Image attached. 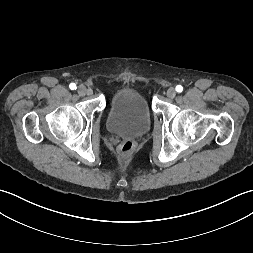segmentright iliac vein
Returning a JSON list of instances; mask_svg holds the SVG:
<instances>
[{"label": "right iliac vein", "mask_w": 253, "mask_h": 253, "mask_svg": "<svg viewBox=\"0 0 253 253\" xmlns=\"http://www.w3.org/2000/svg\"><path fill=\"white\" fill-rule=\"evenodd\" d=\"M77 92L80 96H84L87 93V89L84 85H79L77 88Z\"/></svg>", "instance_id": "right-iliac-vein-1"}]
</instances>
